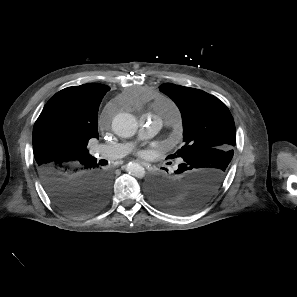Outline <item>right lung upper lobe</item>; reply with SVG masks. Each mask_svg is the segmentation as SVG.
Wrapping results in <instances>:
<instances>
[{
	"label": "right lung upper lobe",
	"mask_w": 297,
	"mask_h": 297,
	"mask_svg": "<svg viewBox=\"0 0 297 297\" xmlns=\"http://www.w3.org/2000/svg\"><path fill=\"white\" fill-rule=\"evenodd\" d=\"M106 85L88 83L65 88L44 106L33 128V152L37 167L55 162L91 158L86 149L90 138H98V109Z\"/></svg>",
	"instance_id": "obj_1"
}]
</instances>
